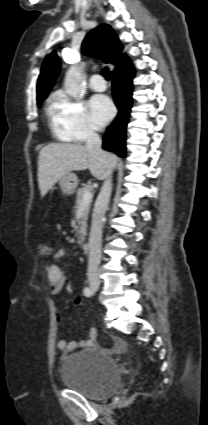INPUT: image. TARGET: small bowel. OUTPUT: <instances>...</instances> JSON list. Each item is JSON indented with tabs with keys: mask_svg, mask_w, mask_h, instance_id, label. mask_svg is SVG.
I'll use <instances>...</instances> for the list:
<instances>
[{
	"mask_svg": "<svg viewBox=\"0 0 208 425\" xmlns=\"http://www.w3.org/2000/svg\"><path fill=\"white\" fill-rule=\"evenodd\" d=\"M64 255H65V251L63 249H59L56 251L54 257L59 259V258H62ZM45 271L47 273L51 294L52 295L59 294L62 291L66 281L64 272L57 264L51 263L49 261L46 262ZM56 319L58 321L60 320V315L58 312H56ZM96 336H97V330L95 328H92L89 332L87 339H83L80 341H71V342H68L66 340H59L57 343V347L66 353H70L79 347L94 345ZM115 343L120 348L124 347V344L120 340H116Z\"/></svg>",
	"mask_w": 208,
	"mask_h": 425,
	"instance_id": "c3829d8e",
	"label": "small bowel"
}]
</instances>
